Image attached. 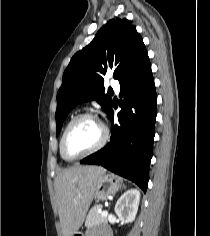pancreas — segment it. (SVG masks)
<instances>
[{
  "mask_svg": "<svg viewBox=\"0 0 210 236\" xmlns=\"http://www.w3.org/2000/svg\"><path fill=\"white\" fill-rule=\"evenodd\" d=\"M102 207L101 204H96L90 209L85 221L87 228H91L100 223H107V217H103L101 213L98 212Z\"/></svg>",
  "mask_w": 210,
  "mask_h": 236,
  "instance_id": "obj_1",
  "label": "pancreas"
}]
</instances>
